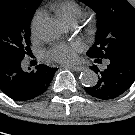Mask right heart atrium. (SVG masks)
Returning a JSON list of instances; mask_svg holds the SVG:
<instances>
[{
    "label": "right heart atrium",
    "mask_w": 135,
    "mask_h": 135,
    "mask_svg": "<svg viewBox=\"0 0 135 135\" xmlns=\"http://www.w3.org/2000/svg\"><path fill=\"white\" fill-rule=\"evenodd\" d=\"M44 18V11L38 10L32 17L31 24H30V31L33 37L38 36L40 24Z\"/></svg>",
    "instance_id": "obj_1"
}]
</instances>
